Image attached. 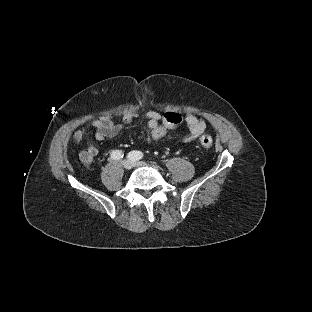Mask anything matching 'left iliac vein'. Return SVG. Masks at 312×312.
I'll return each instance as SVG.
<instances>
[{"mask_svg": "<svg viewBox=\"0 0 312 312\" xmlns=\"http://www.w3.org/2000/svg\"><path fill=\"white\" fill-rule=\"evenodd\" d=\"M146 165H147V163L144 161H134L133 162L134 167H142V166H146Z\"/></svg>", "mask_w": 312, "mask_h": 312, "instance_id": "1", "label": "left iliac vein"}]
</instances>
